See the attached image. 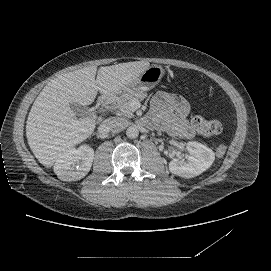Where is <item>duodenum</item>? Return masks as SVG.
Segmentation results:
<instances>
[{"label":"duodenum","mask_w":271,"mask_h":271,"mask_svg":"<svg viewBox=\"0 0 271 271\" xmlns=\"http://www.w3.org/2000/svg\"><path fill=\"white\" fill-rule=\"evenodd\" d=\"M112 100V95L110 94H105V95H102L99 100H98V104L101 108H106L109 103L111 102Z\"/></svg>","instance_id":"410a0bca"}]
</instances>
